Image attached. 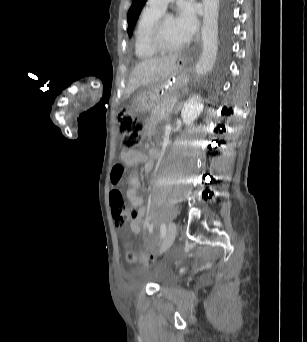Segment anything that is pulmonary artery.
<instances>
[{
    "label": "pulmonary artery",
    "mask_w": 307,
    "mask_h": 342,
    "mask_svg": "<svg viewBox=\"0 0 307 342\" xmlns=\"http://www.w3.org/2000/svg\"><path fill=\"white\" fill-rule=\"evenodd\" d=\"M172 1H146L147 7L158 14H163L166 10V6Z\"/></svg>",
    "instance_id": "e3ab8cb5"
}]
</instances>
